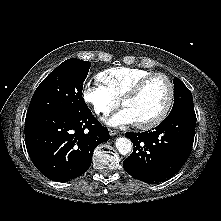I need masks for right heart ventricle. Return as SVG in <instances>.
<instances>
[{
    "label": "right heart ventricle",
    "mask_w": 221,
    "mask_h": 221,
    "mask_svg": "<svg viewBox=\"0 0 221 221\" xmlns=\"http://www.w3.org/2000/svg\"><path fill=\"white\" fill-rule=\"evenodd\" d=\"M149 70L136 67H113L100 72L97 79L108 93L117 101L121 100L132 86Z\"/></svg>",
    "instance_id": "e07e8e85"
}]
</instances>
